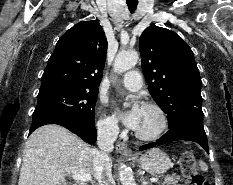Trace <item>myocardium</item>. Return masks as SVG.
I'll list each match as a JSON object with an SVG mask.
<instances>
[{
    "label": "myocardium",
    "instance_id": "myocardium-1",
    "mask_svg": "<svg viewBox=\"0 0 233 185\" xmlns=\"http://www.w3.org/2000/svg\"><path fill=\"white\" fill-rule=\"evenodd\" d=\"M143 108L155 111L160 118V125H159L158 129L152 134L144 135V134H140V133L134 131V136L137 139L142 140V141H155V140L159 139L167 130V127H168L167 114L163 110L162 107H160L159 105H157L155 103H145L143 105Z\"/></svg>",
    "mask_w": 233,
    "mask_h": 185
}]
</instances>
